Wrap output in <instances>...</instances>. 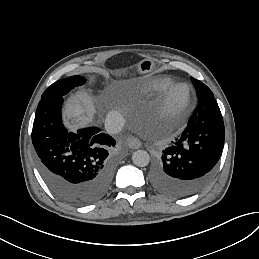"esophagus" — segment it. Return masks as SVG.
<instances>
[{"label": "esophagus", "mask_w": 259, "mask_h": 259, "mask_svg": "<svg viewBox=\"0 0 259 259\" xmlns=\"http://www.w3.org/2000/svg\"><path fill=\"white\" fill-rule=\"evenodd\" d=\"M127 145L131 149H139L142 146V143L137 137L130 136L127 139Z\"/></svg>", "instance_id": "esophagus-1"}]
</instances>
